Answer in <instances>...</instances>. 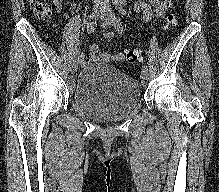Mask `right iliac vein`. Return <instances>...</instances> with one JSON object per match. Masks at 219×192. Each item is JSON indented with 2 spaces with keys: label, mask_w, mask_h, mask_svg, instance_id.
<instances>
[{
  "label": "right iliac vein",
  "mask_w": 219,
  "mask_h": 192,
  "mask_svg": "<svg viewBox=\"0 0 219 192\" xmlns=\"http://www.w3.org/2000/svg\"><path fill=\"white\" fill-rule=\"evenodd\" d=\"M103 11L101 8L97 7L94 9L93 13H92V18L93 19H97L102 15ZM78 69V62L74 61L71 65V73L74 74L77 72Z\"/></svg>",
  "instance_id": "right-iliac-vein-1"
}]
</instances>
